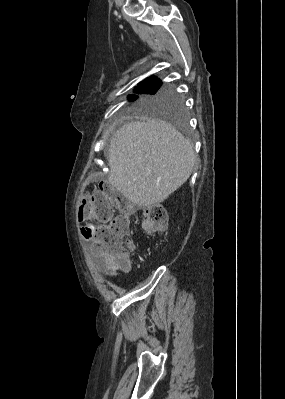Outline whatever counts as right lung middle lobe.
<instances>
[{"mask_svg": "<svg viewBox=\"0 0 285 399\" xmlns=\"http://www.w3.org/2000/svg\"><path fill=\"white\" fill-rule=\"evenodd\" d=\"M161 86L146 90L143 92L145 95L139 97L130 95V101H136L134 109L140 113L148 115H157L181 125L184 119V107L182 99L174 92L170 86Z\"/></svg>", "mask_w": 285, "mask_h": 399, "instance_id": "right-lung-middle-lobe-1", "label": "right lung middle lobe"}]
</instances>
